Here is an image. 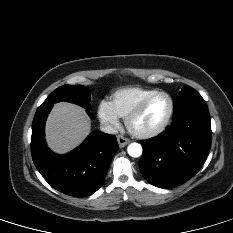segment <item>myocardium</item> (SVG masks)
<instances>
[{
    "mask_svg": "<svg viewBox=\"0 0 233 233\" xmlns=\"http://www.w3.org/2000/svg\"><path fill=\"white\" fill-rule=\"evenodd\" d=\"M159 95H164L168 98L169 100V112L165 118V120L163 121V123L156 129L151 130V131H147V132H140L137 131L133 128L132 123L134 121V119L140 115L142 113V111L145 109V107L148 105V103L154 99L155 97L159 96ZM173 113H174V100L172 98V96L165 92V91H156L152 94H150L149 96L145 97L125 118V123H126V127L129 130V132L134 135L135 137L141 138V139H148V138H153L156 137L158 135H160L162 132H164L166 130V128L169 126L171 119L173 117Z\"/></svg>",
    "mask_w": 233,
    "mask_h": 233,
    "instance_id": "1",
    "label": "myocardium"
}]
</instances>
